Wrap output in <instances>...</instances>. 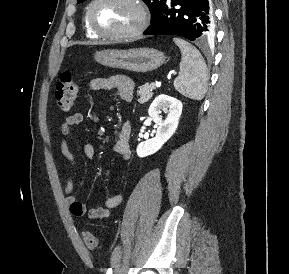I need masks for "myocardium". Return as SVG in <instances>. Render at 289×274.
I'll return each mask as SVG.
<instances>
[{
  "instance_id": "myocardium-1",
  "label": "myocardium",
  "mask_w": 289,
  "mask_h": 274,
  "mask_svg": "<svg viewBox=\"0 0 289 274\" xmlns=\"http://www.w3.org/2000/svg\"><path fill=\"white\" fill-rule=\"evenodd\" d=\"M101 0H92L86 10V20L89 28L97 35L106 39L111 40H128L139 36L147 27L148 24V11L142 0H128L132 3L138 11V22L131 29L119 32L112 33L100 30L93 22L92 19V10L93 7L100 2Z\"/></svg>"
}]
</instances>
